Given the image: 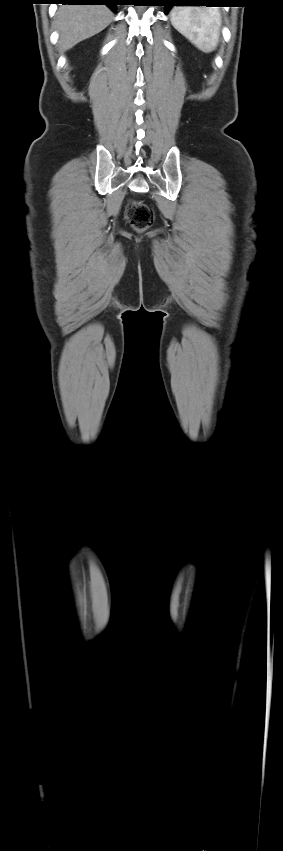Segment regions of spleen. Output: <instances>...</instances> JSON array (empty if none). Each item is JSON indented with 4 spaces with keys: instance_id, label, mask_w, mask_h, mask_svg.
<instances>
[{
    "instance_id": "spleen-1",
    "label": "spleen",
    "mask_w": 283,
    "mask_h": 851,
    "mask_svg": "<svg viewBox=\"0 0 283 851\" xmlns=\"http://www.w3.org/2000/svg\"><path fill=\"white\" fill-rule=\"evenodd\" d=\"M174 28L205 53L214 51L219 42L221 14L211 7H175L171 11Z\"/></svg>"
}]
</instances>
